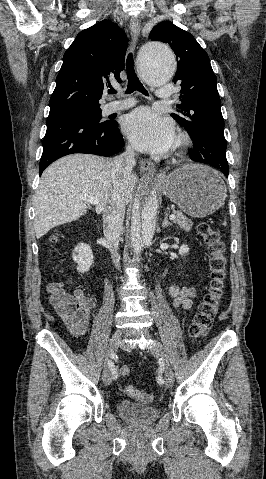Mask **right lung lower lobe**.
<instances>
[{
    "instance_id": "98d812e1",
    "label": "right lung lower lobe",
    "mask_w": 266,
    "mask_h": 479,
    "mask_svg": "<svg viewBox=\"0 0 266 479\" xmlns=\"http://www.w3.org/2000/svg\"><path fill=\"white\" fill-rule=\"evenodd\" d=\"M46 123L40 175L48 165L65 155L89 153L111 156L124 145L115 120L96 123L71 114L53 113L49 114Z\"/></svg>"
}]
</instances>
